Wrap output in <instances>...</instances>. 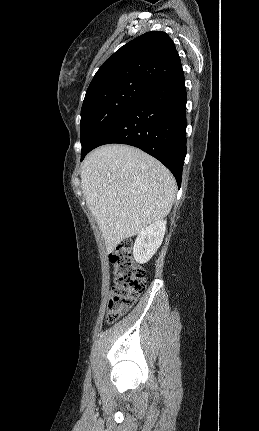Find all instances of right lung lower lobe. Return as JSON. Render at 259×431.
Masks as SVG:
<instances>
[{
  "instance_id": "right-lung-lower-lobe-1",
  "label": "right lung lower lobe",
  "mask_w": 259,
  "mask_h": 431,
  "mask_svg": "<svg viewBox=\"0 0 259 431\" xmlns=\"http://www.w3.org/2000/svg\"><path fill=\"white\" fill-rule=\"evenodd\" d=\"M186 100L184 74L151 87L108 125L88 152L109 143L138 147L162 162L180 187L186 156Z\"/></svg>"
}]
</instances>
